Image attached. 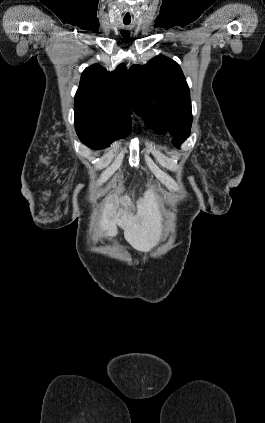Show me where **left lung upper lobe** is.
Instances as JSON below:
<instances>
[{"instance_id": "1", "label": "left lung upper lobe", "mask_w": 265, "mask_h": 423, "mask_svg": "<svg viewBox=\"0 0 265 423\" xmlns=\"http://www.w3.org/2000/svg\"><path fill=\"white\" fill-rule=\"evenodd\" d=\"M129 89L134 111L148 128L169 131L179 147L190 135L192 124L190 91L180 66L158 56L146 65L129 69Z\"/></svg>"}]
</instances>
